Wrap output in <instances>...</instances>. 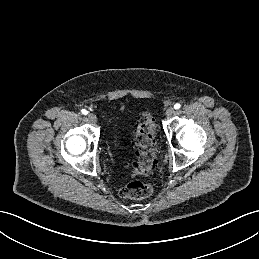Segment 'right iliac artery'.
I'll return each mask as SVG.
<instances>
[{"label": "right iliac artery", "instance_id": "82829eb1", "mask_svg": "<svg viewBox=\"0 0 259 259\" xmlns=\"http://www.w3.org/2000/svg\"><path fill=\"white\" fill-rule=\"evenodd\" d=\"M81 112H82L83 115H87L88 114V111L85 110V109H82Z\"/></svg>", "mask_w": 259, "mask_h": 259}]
</instances>
